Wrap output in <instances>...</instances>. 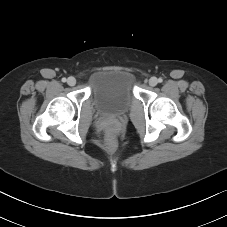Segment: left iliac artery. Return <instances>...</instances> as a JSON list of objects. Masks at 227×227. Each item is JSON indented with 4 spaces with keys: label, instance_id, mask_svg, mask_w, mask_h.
<instances>
[{
    "label": "left iliac artery",
    "instance_id": "left-iliac-artery-1",
    "mask_svg": "<svg viewBox=\"0 0 227 227\" xmlns=\"http://www.w3.org/2000/svg\"><path fill=\"white\" fill-rule=\"evenodd\" d=\"M158 82H159V83L163 82V79H162V78H159V79H158Z\"/></svg>",
    "mask_w": 227,
    "mask_h": 227
}]
</instances>
